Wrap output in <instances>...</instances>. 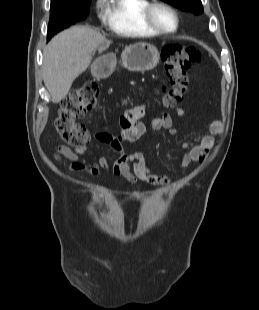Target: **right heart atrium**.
I'll use <instances>...</instances> for the list:
<instances>
[{"mask_svg":"<svg viewBox=\"0 0 259 310\" xmlns=\"http://www.w3.org/2000/svg\"><path fill=\"white\" fill-rule=\"evenodd\" d=\"M105 1L106 0H96L95 1L94 9H95L97 16L100 19H105V13H104Z\"/></svg>","mask_w":259,"mask_h":310,"instance_id":"obj_1","label":"right heart atrium"}]
</instances>
